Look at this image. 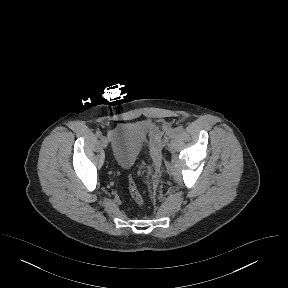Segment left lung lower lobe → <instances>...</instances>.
Instances as JSON below:
<instances>
[{
  "instance_id": "left-lung-lower-lobe-1",
  "label": "left lung lower lobe",
  "mask_w": 288,
  "mask_h": 288,
  "mask_svg": "<svg viewBox=\"0 0 288 288\" xmlns=\"http://www.w3.org/2000/svg\"><path fill=\"white\" fill-rule=\"evenodd\" d=\"M266 204L262 198H259L252 209L247 214L250 225L247 227L248 232L252 234L260 233L265 223Z\"/></svg>"
}]
</instances>
